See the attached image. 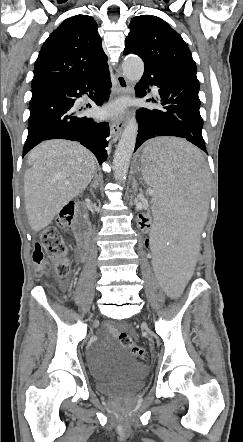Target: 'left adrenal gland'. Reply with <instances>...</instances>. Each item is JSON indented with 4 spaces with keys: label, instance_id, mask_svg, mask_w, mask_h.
Listing matches in <instances>:
<instances>
[{
    "label": "left adrenal gland",
    "instance_id": "1",
    "mask_svg": "<svg viewBox=\"0 0 243 442\" xmlns=\"http://www.w3.org/2000/svg\"><path fill=\"white\" fill-rule=\"evenodd\" d=\"M133 187L135 189H137V187H138V184H137V181H136L135 177H133Z\"/></svg>",
    "mask_w": 243,
    "mask_h": 442
}]
</instances>
